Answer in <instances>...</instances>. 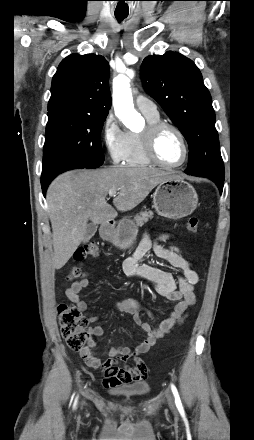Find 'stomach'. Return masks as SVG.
<instances>
[{
	"label": "stomach",
	"mask_w": 254,
	"mask_h": 440,
	"mask_svg": "<svg viewBox=\"0 0 254 440\" xmlns=\"http://www.w3.org/2000/svg\"><path fill=\"white\" fill-rule=\"evenodd\" d=\"M198 204V196L192 185L174 176L158 184L153 195L156 212L166 218L177 220L193 213ZM138 230L133 221L122 219L116 228L103 234L119 249H128L134 243Z\"/></svg>",
	"instance_id": "0dacf381"
}]
</instances>
